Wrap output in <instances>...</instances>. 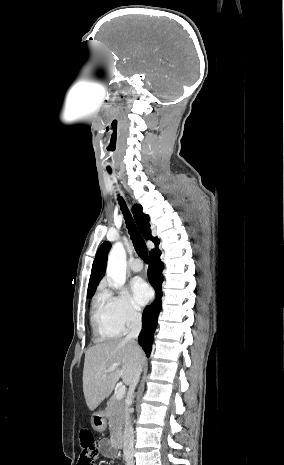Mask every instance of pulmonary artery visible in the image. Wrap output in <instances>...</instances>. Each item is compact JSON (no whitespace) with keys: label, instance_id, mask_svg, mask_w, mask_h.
Masks as SVG:
<instances>
[{"label":"pulmonary artery","instance_id":"obj_1","mask_svg":"<svg viewBox=\"0 0 284 465\" xmlns=\"http://www.w3.org/2000/svg\"><path fill=\"white\" fill-rule=\"evenodd\" d=\"M143 268V264L139 259H135L130 263V269L133 272H140Z\"/></svg>","mask_w":284,"mask_h":465}]
</instances>
